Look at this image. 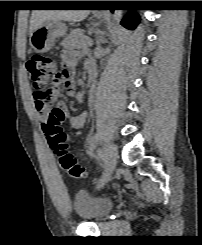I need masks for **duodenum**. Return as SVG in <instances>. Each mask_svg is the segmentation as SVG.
Wrapping results in <instances>:
<instances>
[{
	"instance_id": "duodenum-1",
	"label": "duodenum",
	"mask_w": 202,
	"mask_h": 245,
	"mask_svg": "<svg viewBox=\"0 0 202 245\" xmlns=\"http://www.w3.org/2000/svg\"><path fill=\"white\" fill-rule=\"evenodd\" d=\"M88 82H92L95 78L96 72L92 65L87 66Z\"/></svg>"
}]
</instances>
